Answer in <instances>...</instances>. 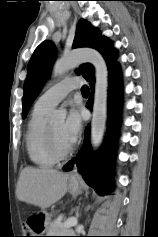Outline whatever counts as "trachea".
Wrapping results in <instances>:
<instances>
[{
  "label": "trachea",
  "instance_id": "obj_1",
  "mask_svg": "<svg viewBox=\"0 0 158 237\" xmlns=\"http://www.w3.org/2000/svg\"><path fill=\"white\" fill-rule=\"evenodd\" d=\"M81 92L83 95H88L89 94V88L88 86L84 85L82 88H81Z\"/></svg>",
  "mask_w": 158,
  "mask_h": 237
}]
</instances>
